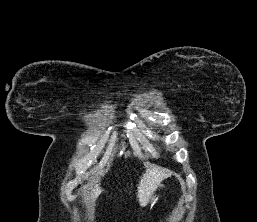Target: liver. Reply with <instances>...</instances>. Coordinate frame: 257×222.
Masks as SVG:
<instances>
[{"instance_id": "1", "label": "liver", "mask_w": 257, "mask_h": 222, "mask_svg": "<svg viewBox=\"0 0 257 222\" xmlns=\"http://www.w3.org/2000/svg\"><path fill=\"white\" fill-rule=\"evenodd\" d=\"M169 175V171L160 170L157 167L146 169L137 187V198L142 207H145L148 204L150 197L154 194L157 187ZM93 185L94 184H91V187ZM91 189V199L94 201L100 195L101 188L96 184Z\"/></svg>"}]
</instances>
